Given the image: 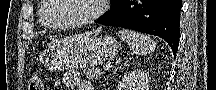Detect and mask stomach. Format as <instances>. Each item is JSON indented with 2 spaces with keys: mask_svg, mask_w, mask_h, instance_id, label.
Here are the masks:
<instances>
[{
  "mask_svg": "<svg viewBox=\"0 0 216 90\" xmlns=\"http://www.w3.org/2000/svg\"><path fill=\"white\" fill-rule=\"evenodd\" d=\"M118 48L119 43L112 37H91L74 53L50 55L45 66L51 72L63 71L70 67H94L114 57Z\"/></svg>",
  "mask_w": 216,
  "mask_h": 90,
  "instance_id": "obj_1",
  "label": "stomach"
}]
</instances>
